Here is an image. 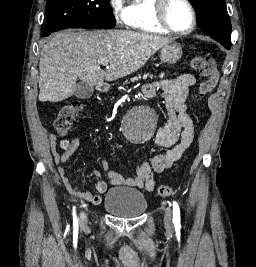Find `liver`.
I'll use <instances>...</instances> for the list:
<instances>
[{"label": "liver", "instance_id": "obj_1", "mask_svg": "<svg viewBox=\"0 0 256 267\" xmlns=\"http://www.w3.org/2000/svg\"><path fill=\"white\" fill-rule=\"evenodd\" d=\"M170 38L131 30H63L44 44L39 60V102H62L75 92L77 78L103 86L145 66ZM101 62H107L101 70Z\"/></svg>", "mask_w": 256, "mask_h": 267}]
</instances>
